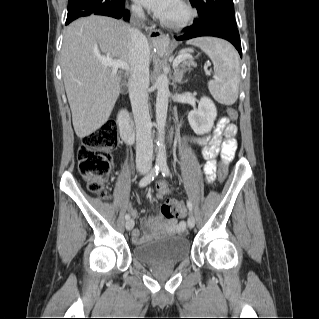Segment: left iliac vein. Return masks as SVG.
Listing matches in <instances>:
<instances>
[{
	"instance_id": "obj_1",
	"label": "left iliac vein",
	"mask_w": 319,
	"mask_h": 319,
	"mask_svg": "<svg viewBox=\"0 0 319 319\" xmlns=\"http://www.w3.org/2000/svg\"><path fill=\"white\" fill-rule=\"evenodd\" d=\"M187 224H188L189 228H193L194 227L195 218H194V216L192 214L188 217Z\"/></svg>"
}]
</instances>
